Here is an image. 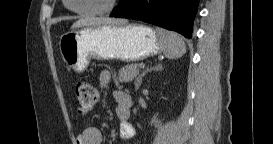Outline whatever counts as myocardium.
Here are the masks:
<instances>
[{
    "label": "myocardium",
    "instance_id": "f54148a6",
    "mask_svg": "<svg viewBox=\"0 0 273 144\" xmlns=\"http://www.w3.org/2000/svg\"><path fill=\"white\" fill-rule=\"evenodd\" d=\"M67 2L69 3V8L79 14V15H100V14H106V13H110L112 12L115 7L117 6L118 4V0H110L108 2V4L100 9H96V10H89V9H86V10H80V9H76L72 2L73 0H67Z\"/></svg>",
    "mask_w": 273,
    "mask_h": 144
}]
</instances>
